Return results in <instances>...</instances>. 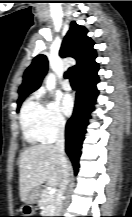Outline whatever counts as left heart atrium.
<instances>
[{"mask_svg":"<svg viewBox=\"0 0 132 217\" xmlns=\"http://www.w3.org/2000/svg\"><path fill=\"white\" fill-rule=\"evenodd\" d=\"M61 108H62V112L65 115L67 116L71 115L74 108V99L71 95L67 94L63 96L61 100Z\"/></svg>","mask_w":132,"mask_h":217,"instance_id":"1","label":"left heart atrium"}]
</instances>
